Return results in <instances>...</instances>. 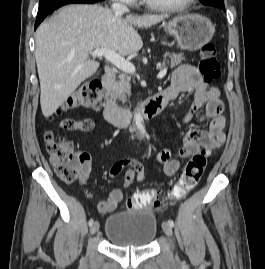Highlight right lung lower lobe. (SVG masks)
<instances>
[{
  "instance_id": "obj_1",
  "label": "right lung lower lobe",
  "mask_w": 265,
  "mask_h": 269,
  "mask_svg": "<svg viewBox=\"0 0 265 269\" xmlns=\"http://www.w3.org/2000/svg\"><path fill=\"white\" fill-rule=\"evenodd\" d=\"M103 0H40L37 19L35 22V29L43 21V19L52 11L59 7L70 3H86L93 4Z\"/></svg>"
}]
</instances>
